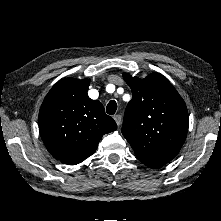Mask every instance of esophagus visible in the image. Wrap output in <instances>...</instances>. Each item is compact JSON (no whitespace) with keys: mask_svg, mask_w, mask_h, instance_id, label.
<instances>
[{"mask_svg":"<svg viewBox=\"0 0 221 221\" xmlns=\"http://www.w3.org/2000/svg\"><path fill=\"white\" fill-rule=\"evenodd\" d=\"M114 120L116 121V124L118 125V126H120V124H121V122H122V116L121 115H115L114 116Z\"/></svg>","mask_w":221,"mask_h":221,"instance_id":"34e87169","label":"esophagus"}]
</instances>
